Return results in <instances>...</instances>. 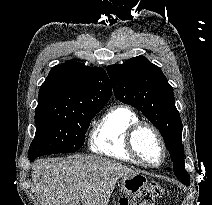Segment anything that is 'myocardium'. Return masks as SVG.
<instances>
[{
	"instance_id": "myocardium-1",
	"label": "myocardium",
	"mask_w": 212,
	"mask_h": 205,
	"mask_svg": "<svg viewBox=\"0 0 212 205\" xmlns=\"http://www.w3.org/2000/svg\"><path fill=\"white\" fill-rule=\"evenodd\" d=\"M145 130L149 131L154 136V138L156 139L157 143L160 146L161 158L158 162L154 163V162L147 160L145 157L142 156V154L138 150V147L136 144V139H137L138 135L142 131H145ZM126 143H127V148L129 150V152L141 164L156 167V166L161 165L166 158L167 150H166V145H165L164 139H163L162 135L160 134V132L158 131V129L151 123L138 122V123L134 124L130 128V130L127 134Z\"/></svg>"
}]
</instances>
